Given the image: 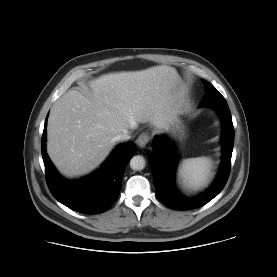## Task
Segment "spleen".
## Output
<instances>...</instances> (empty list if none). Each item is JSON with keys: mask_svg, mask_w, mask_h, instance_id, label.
Here are the masks:
<instances>
[{"mask_svg": "<svg viewBox=\"0 0 277 277\" xmlns=\"http://www.w3.org/2000/svg\"><path fill=\"white\" fill-rule=\"evenodd\" d=\"M212 162L208 157L184 159L179 167V176L184 186L190 189L203 187L211 175Z\"/></svg>", "mask_w": 277, "mask_h": 277, "instance_id": "3e777b00", "label": "spleen"}]
</instances>
